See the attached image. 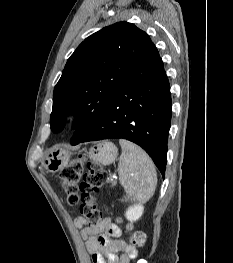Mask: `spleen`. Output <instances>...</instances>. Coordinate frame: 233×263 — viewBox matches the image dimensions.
<instances>
[{"label":"spleen","instance_id":"3e777b00","mask_svg":"<svg viewBox=\"0 0 233 263\" xmlns=\"http://www.w3.org/2000/svg\"><path fill=\"white\" fill-rule=\"evenodd\" d=\"M122 154L118 164L120 184L131 201L147 202L154 194L157 173L147 153L136 144L120 139Z\"/></svg>","mask_w":233,"mask_h":263}]
</instances>
